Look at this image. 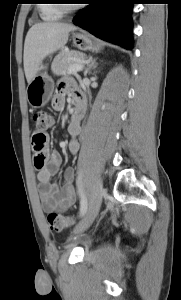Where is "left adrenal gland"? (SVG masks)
Masks as SVG:
<instances>
[{
  "label": "left adrenal gland",
  "mask_w": 181,
  "mask_h": 300,
  "mask_svg": "<svg viewBox=\"0 0 181 300\" xmlns=\"http://www.w3.org/2000/svg\"><path fill=\"white\" fill-rule=\"evenodd\" d=\"M95 61H96V59L89 61V64H88L89 73H90L91 68L94 66Z\"/></svg>",
  "instance_id": "left-adrenal-gland-1"
}]
</instances>
